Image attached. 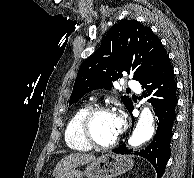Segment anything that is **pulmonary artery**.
<instances>
[{
  "label": "pulmonary artery",
  "mask_w": 194,
  "mask_h": 178,
  "mask_svg": "<svg viewBox=\"0 0 194 178\" xmlns=\"http://www.w3.org/2000/svg\"><path fill=\"white\" fill-rule=\"evenodd\" d=\"M127 85L134 89L135 91L139 92L140 91V88H139V85L137 83V81L133 80V79H130L127 81Z\"/></svg>",
  "instance_id": "1"
}]
</instances>
